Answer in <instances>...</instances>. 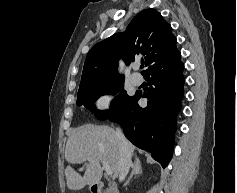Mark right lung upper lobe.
Masks as SVG:
<instances>
[{
    "label": "right lung upper lobe",
    "instance_id": "1",
    "mask_svg": "<svg viewBox=\"0 0 237 193\" xmlns=\"http://www.w3.org/2000/svg\"><path fill=\"white\" fill-rule=\"evenodd\" d=\"M171 26L155 9L137 14L123 33H117L97 43L88 52L79 90L109 81L124 80L117 72L122 55L126 64L143 55L147 69L177 52ZM143 60V59H142Z\"/></svg>",
    "mask_w": 237,
    "mask_h": 193
}]
</instances>
